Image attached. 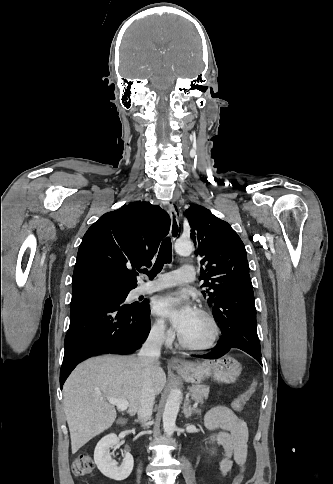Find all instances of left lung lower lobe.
<instances>
[{
    "label": "left lung lower lobe",
    "mask_w": 333,
    "mask_h": 484,
    "mask_svg": "<svg viewBox=\"0 0 333 484\" xmlns=\"http://www.w3.org/2000/svg\"><path fill=\"white\" fill-rule=\"evenodd\" d=\"M213 316L220 323L223 335L209 353L198 357L217 359L232 348H238L262 364L249 272L232 276L221 285L213 307Z\"/></svg>",
    "instance_id": "left-lung-lower-lobe-1"
}]
</instances>
